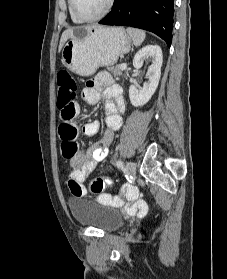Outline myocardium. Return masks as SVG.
Instances as JSON below:
<instances>
[{
	"mask_svg": "<svg viewBox=\"0 0 227 279\" xmlns=\"http://www.w3.org/2000/svg\"><path fill=\"white\" fill-rule=\"evenodd\" d=\"M114 2H115V0H108L106 7L104 8V10L101 13H99L98 15H96L94 17L87 18V17L81 16L77 12V10H76V1L75 0H70L72 13L81 22H94V21H98V20L104 18L112 10Z\"/></svg>",
	"mask_w": 227,
	"mask_h": 279,
	"instance_id": "f54148a6",
	"label": "myocardium"
}]
</instances>
